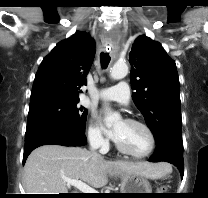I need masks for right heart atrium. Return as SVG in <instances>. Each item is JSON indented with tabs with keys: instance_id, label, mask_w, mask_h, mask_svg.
Returning <instances> with one entry per match:
<instances>
[{
	"instance_id": "d8ad5b80",
	"label": "right heart atrium",
	"mask_w": 208,
	"mask_h": 198,
	"mask_svg": "<svg viewBox=\"0 0 208 198\" xmlns=\"http://www.w3.org/2000/svg\"><path fill=\"white\" fill-rule=\"evenodd\" d=\"M87 138L89 143L101 151H105L108 147V141L102 135L101 131L97 126L91 123L87 130Z\"/></svg>"
}]
</instances>
